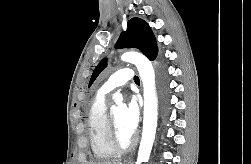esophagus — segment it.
<instances>
[{
    "mask_svg": "<svg viewBox=\"0 0 251 164\" xmlns=\"http://www.w3.org/2000/svg\"><path fill=\"white\" fill-rule=\"evenodd\" d=\"M132 161H133V159L130 158L129 161H128V163H129V164H132Z\"/></svg>",
    "mask_w": 251,
    "mask_h": 164,
    "instance_id": "1",
    "label": "esophagus"
}]
</instances>
